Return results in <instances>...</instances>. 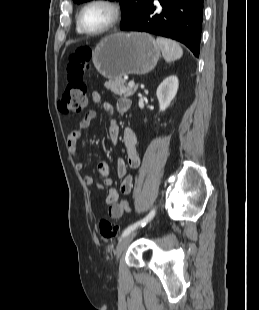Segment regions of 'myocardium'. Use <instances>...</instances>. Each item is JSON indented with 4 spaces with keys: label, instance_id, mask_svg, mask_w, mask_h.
Returning a JSON list of instances; mask_svg holds the SVG:
<instances>
[{
    "label": "myocardium",
    "instance_id": "myocardium-1",
    "mask_svg": "<svg viewBox=\"0 0 259 310\" xmlns=\"http://www.w3.org/2000/svg\"><path fill=\"white\" fill-rule=\"evenodd\" d=\"M94 5H102L107 7L111 11V19L109 22L99 30H88L85 28L82 22V15L84 11ZM123 16V11L121 5L115 0H90L85 3L78 12L77 15V26L80 31L89 36H99L103 35L113 28H115L121 21Z\"/></svg>",
    "mask_w": 259,
    "mask_h": 310
}]
</instances>
